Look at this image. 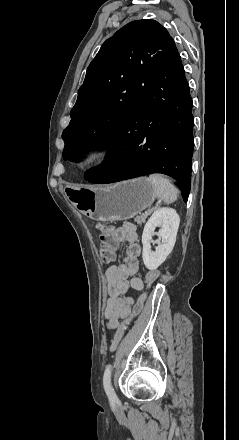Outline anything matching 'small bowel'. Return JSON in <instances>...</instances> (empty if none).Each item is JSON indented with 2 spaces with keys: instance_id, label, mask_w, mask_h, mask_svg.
Masks as SVG:
<instances>
[{
  "instance_id": "1",
  "label": "small bowel",
  "mask_w": 239,
  "mask_h": 440,
  "mask_svg": "<svg viewBox=\"0 0 239 440\" xmlns=\"http://www.w3.org/2000/svg\"><path fill=\"white\" fill-rule=\"evenodd\" d=\"M116 246L109 261L115 259V251L120 242H127L124 263L111 265L106 270L107 305L104 312L106 326L109 330L117 328L119 321L126 318L131 312L134 303L130 289L141 290L143 281L136 276L139 268L141 246L137 243L138 235L134 224L126 223L118 227L115 232Z\"/></svg>"
}]
</instances>
